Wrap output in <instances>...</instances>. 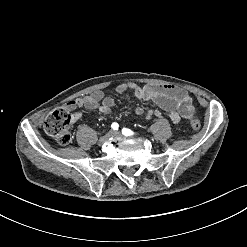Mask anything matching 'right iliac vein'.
<instances>
[{"instance_id": "right-iliac-vein-1", "label": "right iliac vein", "mask_w": 247, "mask_h": 247, "mask_svg": "<svg viewBox=\"0 0 247 247\" xmlns=\"http://www.w3.org/2000/svg\"><path fill=\"white\" fill-rule=\"evenodd\" d=\"M114 135V132L111 130L108 133H106L103 137L100 138L98 145L105 144L112 136Z\"/></svg>"}]
</instances>
